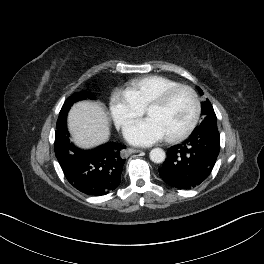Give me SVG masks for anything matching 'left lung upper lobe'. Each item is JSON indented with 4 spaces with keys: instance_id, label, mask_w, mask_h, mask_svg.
Listing matches in <instances>:
<instances>
[{
    "instance_id": "5c2ea615",
    "label": "left lung upper lobe",
    "mask_w": 264,
    "mask_h": 264,
    "mask_svg": "<svg viewBox=\"0 0 264 264\" xmlns=\"http://www.w3.org/2000/svg\"><path fill=\"white\" fill-rule=\"evenodd\" d=\"M200 94L202 95L203 92L199 89ZM202 114L205 116L204 120L201 122V125L204 124H217L216 114L214 109L207 99L205 102L202 103Z\"/></svg>"
}]
</instances>
